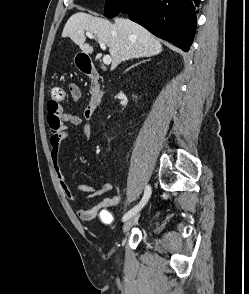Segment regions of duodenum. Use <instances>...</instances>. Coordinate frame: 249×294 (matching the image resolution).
Segmentation results:
<instances>
[{
  "instance_id": "1",
  "label": "duodenum",
  "mask_w": 249,
  "mask_h": 294,
  "mask_svg": "<svg viewBox=\"0 0 249 294\" xmlns=\"http://www.w3.org/2000/svg\"><path fill=\"white\" fill-rule=\"evenodd\" d=\"M82 72L85 73L91 80L90 96L85 109L87 117H91L102 102V95L98 86L99 72L90 62L83 65Z\"/></svg>"
}]
</instances>
